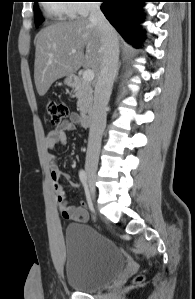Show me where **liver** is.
Wrapping results in <instances>:
<instances>
[{"label": "liver", "instance_id": "obj_1", "mask_svg": "<svg viewBox=\"0 0 195 299\" xmlns=\"http://www.w3.org/2000/svg\"><path fill=\"white\" fill-rule=\"evenodd\" d=\"M35 46L34 80L40 96H44L57 79L71 76L81 66L91 68L96 76L100 74L101 32L87 18L45 27L36 35ZM72 49L76 52L72 53Z\"/></svg>", "mask_w": 195, "mask_h": 299}]
</instances>
